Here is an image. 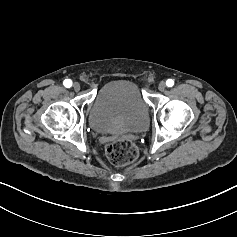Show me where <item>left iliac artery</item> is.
<instances>
[{
    "label": "left iliac artery",
    "instance_id": "1",
    "mask_svg": "<svg viewBox=\"0 0 237 237\" xmlns=\"http://www.w3.org/2000/svg\"><path fill=\"white\" fill-rule=\"evenodd\" d=\"M166 85H167L168 87H172V86L174 85V81H173L172 79H168V80L166 81Z\"/></svg>",
    "mask_w": 237,
    "mask_h": 237
}]
</instances>
